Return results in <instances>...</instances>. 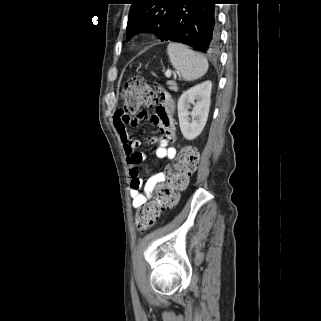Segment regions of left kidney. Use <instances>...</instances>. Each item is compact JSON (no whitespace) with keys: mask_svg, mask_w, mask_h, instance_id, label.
I'll return each instance as SVG.
<instances>
[{"mask_svg":"<svg viewBox=\"0 0 321 321\" xmlns=\"http://www.w3.org/2000/svg\"><path fill=\"white\" fill-rule=\"evenodd\" d=\"M212 82L205 81L185 91L178 101L179 125L183 136L193 140L206 125L210 108ZM196 100V102H195ZM194 105L190 112V105Z\"/></svg>","mask_w":321,"mask_h":321,"instance_id":"5707ae66","label":"left kidney"}]
</instances>
